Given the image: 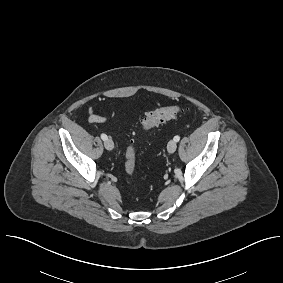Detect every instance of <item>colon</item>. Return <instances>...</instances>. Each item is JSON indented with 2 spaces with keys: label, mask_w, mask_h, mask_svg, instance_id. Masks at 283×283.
I'll return each instance as SVG.
<instances>
[{
  "label": "colon",
  "mask_w": 283,
  "mask_h": 283,
  "mask_svg": "<svg viewBox=\"0 0 283 283\" xmlns=\"http://www.w3.org/2000/svg\"><path fill=\"white\" fill-rule=\"evenodd\" d=\"M179 106H167L158 108L154 111L149 112L144 119L141 121L140 128L142 130H148L156 127L170 119L180 112ZM136 170V150L134 145H130L126 151L125 159V171L129 175H133Z\"/></svg>",
  "instance_id": "1"
}]
</instances>
